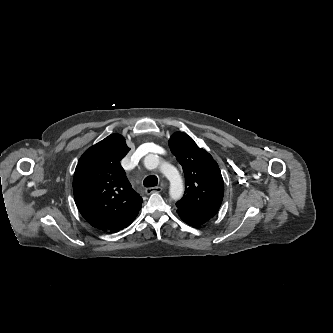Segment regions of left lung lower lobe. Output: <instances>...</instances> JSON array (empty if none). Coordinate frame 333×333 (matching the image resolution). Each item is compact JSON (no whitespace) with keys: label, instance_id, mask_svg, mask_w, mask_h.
Segmentation results:
<instances>
[{"label":"left lung lower lobe","instance_id":"left-lung-lower-lobe-1","mask_svg":"<svg viewBox=\"0 0 333 333\" xmlns=\"http://www.w3.org/2000/svg\"><path fill=\"white\" fill-rule=\"evenodd\" d=\"M177 213L184 222H186L188 225H191V226L202 225L210 219L205 216L191 214V213H188L185 211H181L179 209H177Z\"/></svg>","mask_w":333,"mask_h":333}]
</instances>
